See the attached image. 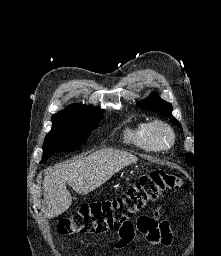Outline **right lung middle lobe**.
<instances>
[{
  "label": "right lung middle lobe",
  "mask_w": 221,
  "mask_h": 256,
  "mask_svg": "<svg viewBox=\"0 0 221 256\" xmlns=\"http://www.w3.org/2000/svg\"><path fill=\"white\" fill-rule=\"evenodd\" d=\"M103 110L85 106L76 113L53 115L52 129L45 137L42 162L60 149L81 146L102 119Z\"/></svg>",
  "instance_id": "obj_1"
}]
</instances>
